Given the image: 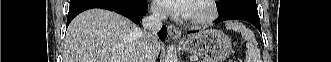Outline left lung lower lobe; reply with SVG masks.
Wrapping results in <instances>:
<instances>
[{
	"mask_svg": "<svg viewBox=\"0 0 331 62\" xmlns=\"http://www.w3.org/2000/svg\"><path fill=\"white\" fill-rule=\"evenodd\" d=\"M226 20H243L254 25L258 30L261 31L260 19L257 10H252L242 6L233 7L227 11L222 12V14L214 22L217 24ZM192 32L196 31H189L188 33Z\"/></svg>",
	"mask_w": 331,
	"mask_h": 62,
	"instance_id": "0a47b994",
	"label": "left lung lower lobe"
}]
</instances>
